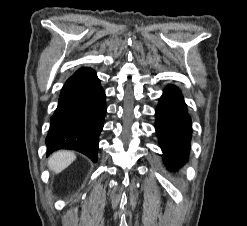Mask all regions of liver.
Instances as JSON below:
<instances>
[{
  "label": "liver",
  "instance_id": "obj_1",
  "mask_svg": "<svg viewBox=\"0 0 247 226\" xmlns=\"http://www.w3.org/2000/svg\"><path fill=\"white\" fill-rule=\"evenodd\" d=\"M75 159L76 155L74 152L67 150L57 151L49 157L48 167L57 174L67 168Z\"/></svg>",
  "mask_w": 247,
  "mask_h": 226
}]
</instances>
